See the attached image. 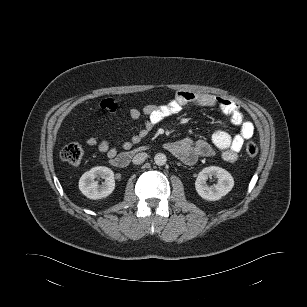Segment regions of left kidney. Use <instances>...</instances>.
<instances>
[{
    "mask_svg": "<svg viewBox=\"0 0 307 307\" xmlns=\"http://www.w3.org/2000/svg\"><path fill=\"white\" fill-rule=\"evenodd\" d=\"M214 177L217 183L208 186L206 181L208 178ZM234 179L231 174L223 168L210 166L204 168L195 181V188L199 196L205 200L216 201L225 196L232 190Z\"/></svg>",
    "mask_w": 307,
    "mask_h": 307,
    "instance_id": "left-kidney-1",
    "label": "left kidney"
}]
</instances>
